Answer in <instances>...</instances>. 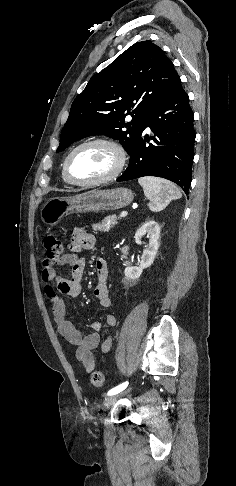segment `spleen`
I'll return each instance as SVG.
<instances>
[{
  "label": "spleen",
  "mask_w": 236,
  "mask_h": 486,
  "mask_svg": "<svg viewBox=\"0 0 236 486\" xmlns=\"http://www.w3.org/2000/svg\"><path fill=\"white\" fill-rule=\"evenodd\" d=\"M138 183L145 196L150 200L149 208L153 212L164 209L172 200L181 198L179 189L170 181L157 177H141Z\"/></svg>",
  "instance_id": "obj_1"
}]
</instances>
